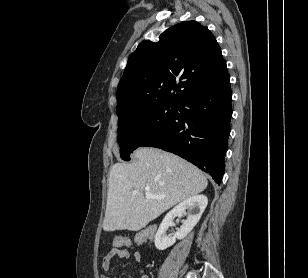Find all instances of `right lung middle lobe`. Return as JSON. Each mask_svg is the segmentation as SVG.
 I'll return each mask as SVG.
<instances>
[{"mask_svg": "<svg viewBox=\"0 0 308 278\" xmlns=\"http://www.w3.org/2000/svg\"><path fill=\"white\" fill-rule=\"evenodd\" d=\"M178 104H156L139 109L119 121L120 155L130 160V153L146 139L166 127L177 115Z\"/></svg>", "mask_w": 308, "mask_h": 278, "instance_id": "obj_1", "label": "right lung middle lobe"}]
</instances>
